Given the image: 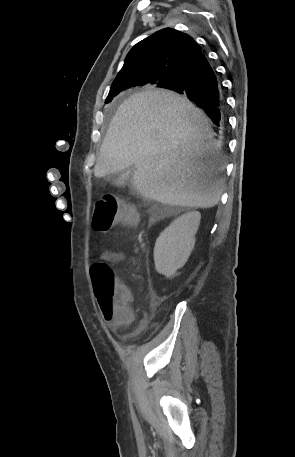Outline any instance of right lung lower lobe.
Segmentation results:
<instances>
[{
    "mask_svg": "<svg viewBox=\"0 0 295 457\" xmlns=\"http://www.w3.org/2000/svg\"><path fill=\"white\" fill-rule=\"evenodd\" d=\"M186 95L202 108L216 126L225 122L223 87L204 54L191 60L171 81L158 86Z\"/></svg>",
    "mask_w": 295,
    "mask_h": 457,
    "instance_id": "1",
    "label": "right lung lower lobe"
}]
</instances>
